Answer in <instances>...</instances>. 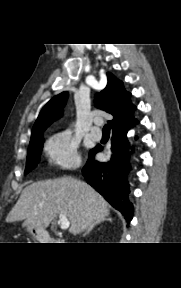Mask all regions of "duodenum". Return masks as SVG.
Listing matches in <instances>:
<instances>
[{
    "mask_svg": "<svg viewBox=\"0 0 181 288\" xmlns=\"http://www.w3.org/2000/svg\"><path fill=\"white\" fill-rule=\"evenodd\" d=\"M37 240L43 243H59V238L52 237L48 232L39 231L37 232Z\"/></svg>",
    "mask_w": 181,
    "mask_h": 288,
    "instance_id": "duodenum-1",
    "label": "duodenum"
}]
</instances>
